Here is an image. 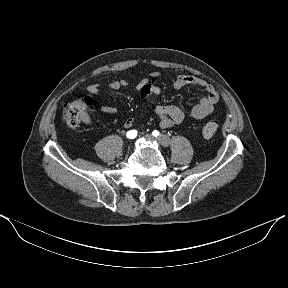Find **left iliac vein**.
I'll return each mask as SVG.
<instances>
[{"label":"left iliac vein","mask_w":288,"mask_h":288,"mask_svg":"<svg viewBox=\"0 0 288 288\" xmlns=\"http://www.w3.org/2000/svg\"><path fill=\"white\" fill-rule=\"evenodd\" d=\"M145 138L149 141H157L163 146H168V141L164 138H154L151 134L145 135Z\"/></svg>","instance_id":"4c4485c4"}]
</instances>
